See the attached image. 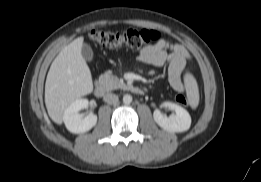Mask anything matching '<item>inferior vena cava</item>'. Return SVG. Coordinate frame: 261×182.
<instances>
[{
  "label": "inferior vena cava",
  "mask_w": 261,
  "mask_h": 182,
  "mask_svg": "<svg viewBox=\"0 0 261 182\" xmlns=\"http://www.w3.org/2000/svg\"><path fill=\"white\" fill-rule=\"evenodd\" d=\"M103 100L108 104H115L119 101V98L116 94L107 93L104 95Z\"/></svg>",
  "instance_id": "obj_1"
}]
</instances>
